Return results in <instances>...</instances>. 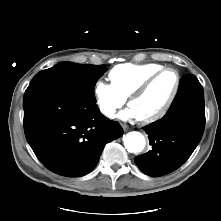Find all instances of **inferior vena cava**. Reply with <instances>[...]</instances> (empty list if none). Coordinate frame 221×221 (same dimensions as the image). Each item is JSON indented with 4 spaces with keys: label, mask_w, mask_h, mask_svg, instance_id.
<instances>
[{
    "label": "inferior vena cava",
    "mask_w": 221,
    "mask_h": 221,
    "mask_svg": "<svg viewBox=\"0 0 221 221\" xmlns=\"http://www.w3.org/2000/svg\"><path fill=\"white\" fill-rule=\"evenodd\" d=\"M108 113H110V116H112V114H113V112H108Z\"/></svg>",
    "instance_id": "obj_1"
}]
</instances>
